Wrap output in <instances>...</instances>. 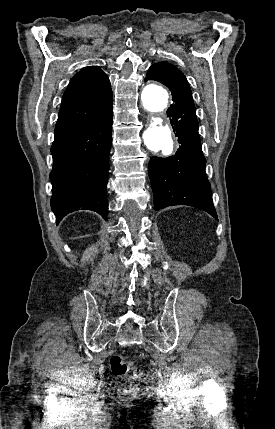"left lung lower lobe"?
<instances>
[{
  "instance_id": "1",
  "label": "left lung lower lobe",
  "mask_w": 275,
  "mask_h": 429,
  "mask_svg": "<svg viewBox=\"0 0 275 429\" xmlns=\"http://www.w3.org/2000/svg\"><path fill=\"white\" fill-rule=\"evenodd\" d=\"M154 79L166 85L173 104L167 111L179 139L175 155L152 157L149 176L154 194V210L167 206L189 205L208 212L217 219L210 183L205 173L206 160L201 149L198 121L191 89L185 76L150 68L145 81Z\"/></svg>"
}]
</instances>
